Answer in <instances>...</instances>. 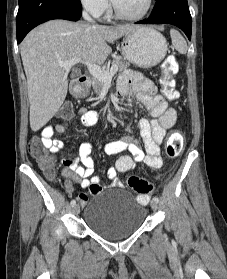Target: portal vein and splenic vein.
Returning a JSON list of instances; mask_svg holds the SVG:
<instances>
[{
  "instance_id": "1",
  "label": "portal vein and splenic vein",
  "mask_w": 227,
  "mask_h": 279,
  "mask_svg": "<svg viewBox=\"0 0 227 279\" xmlns=\"http://www.w3.org/2000/svg\"><path fill=\"white\" fill-rule=\"evenodd\" d=\"M80 62H83L80 58H71L67 61L60 62L59 65L64 67V69L69 70L73 65ZM84 64L87 65V68L93 77L103 82H111L113 76L118 71V68L116 66H112L111 69L107 71L91 62H84Z\"/></svg>"
}]
</instances>
